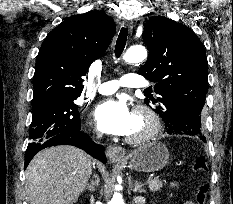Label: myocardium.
<instances>
[{
  "instance_id": "obj_1",
  "label": "myocardium",
  "mask_w": 233,
  "mask_h": 204,
  "mask_svg": "<svg viewBox=\"0 0 233 204\" xmlns=\"http://www.w3.org/2000/svg\"><path fill=\"white\" fill-rule=\"evenodd\" d=\"M133 113L142 116L147 122L145 131L138 135L127 136L126 141L131 144H138L150 140L157 135L161 128V121L157 113L145 104L134 106Z\"/></svg>"
}]
</instances>
